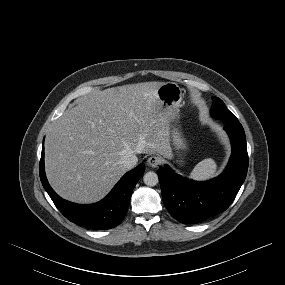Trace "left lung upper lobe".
<instances>
[{"label":"left lung upper lobe","instance_id":"obj_1","mask_svg":"<svg viewBox=\"0 0 285 285\" xmlns=\"http://www.w3.org/2000/svg\"><path fill=\"white\" fill-rule=\"evenodd\" d=\"M213 104L210 109V114L224 122L238 123V119L226 108L223 101L217 97H213Z\"/></svg>","mask_w":285,"mask_h":285}]
</instances>
